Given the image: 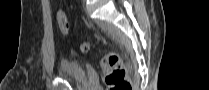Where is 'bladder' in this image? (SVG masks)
I'll return each instance as SVG.
<instances>
[{
  "label": "bladder",
  "mask_w": 209,
  "mask_h": 90,
  "mask_svg": "<svg viewBox=\"0 0 209 90\" xmlns=\"http://www.w3.org/2000/svg\"><path fill=\"white\" fill-rule=\"evenodd\" d=\"M59 76L63 79L72 80L76 84H86L89 80L85 66L69 60L60 62Z\"/></svg>",
  "instance_id": "31cf9c89"
}]
</instances>
